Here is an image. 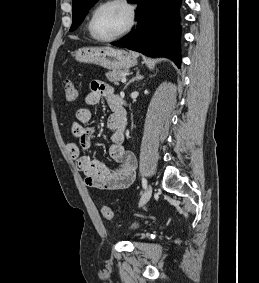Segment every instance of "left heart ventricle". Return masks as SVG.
<instances>
[{
  "label": "left heart ventricle",
  "mask_w": 259,
  "mask_h": 283,
  "mask_svg": "<svg viewBox=\"0 0 259 283\" xmlns=\"http://www.w3.org/2000/svg\"><path fill=\"white\" fill-rule=\"evenodd\" d=\"M128 22V13L121 4H109L97 13L93 30L101 38L112 37L121 32Z\"/></svg>",
  "instance_id": "obj_1"
}]
</instances>
